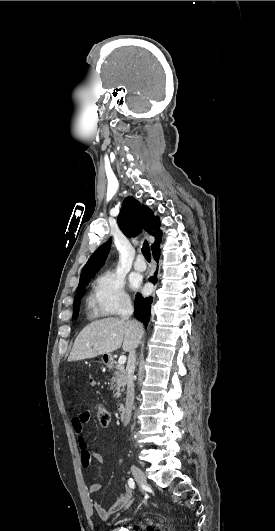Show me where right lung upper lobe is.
Instances as JSON below:
<instances>
[{
    "instance_id": "cb5924a9",
    "label": "right lung upper lobe",
    "mask_w": 275,
    "mask_h": 531,
    "mask_svg": "<svg viewBox=\"0 0 275 531\" xmlns=\"http://www.w3.org/2000/svg\"><path fill=\"white\" fill-rule=\"evenodd\" d=\"M117 222L126 236L134 237L144 229L148 234L155 237V242L151 248L159 245L162 235L159 218L153 215L150 208L141 205L135 198L127 197L123 201ZM110 247L111 240L101 245L89 258L82 270L78 288L90 280L104 264Z\"/></svg>"
}]
</instances>
